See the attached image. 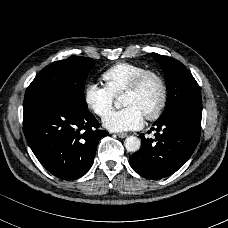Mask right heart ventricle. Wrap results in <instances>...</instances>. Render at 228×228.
Segmentation results:
<instances>
[{
    "label": "right heart ventricle",
    "mask_w": 228,
    "mask_h": 228,
    "mask_svg": "<svg viewBox=\"0 0 228 228\" xmlns=\"http://www.w3.org/2000/svg\"><path fill=\"white\" fill-rule=\"evenodd\" d=\"M145 70L148 68L140 64L119 62L106 69L102 78L111 94L117 97L124 92L137 75Z\"/></svg>",
    "instance_id": "e07e8e85"
}]
</instances>
